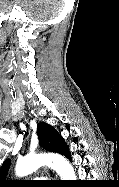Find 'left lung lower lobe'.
Masks as SVG:
<instances>
[{
  "label": "left lung lower lobe",
  "mask_w": 119,
  "mask_h": 187,
  "mask_svg": "<svg viewBox=\"0 0 119 187\" xmlns=\"http://www.w3.org/2000/svg\"><path fill=\"white\" fill-rule=\"evenodd\" d=\"M65 157L68 158L69 160H72V159H71L70 151H68V153L65 155Z\"/></svg>",
  "instance_id": "left-lung-lower-lobe-1"
}]
</instances>
